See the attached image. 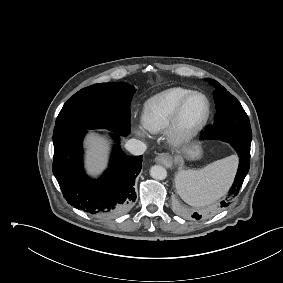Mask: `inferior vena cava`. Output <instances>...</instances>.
<instances>
[{
  "mask_svg": "<svg viewBox=\"0 0 283 283\" xmlns=\"http://www.w3.org/2000/svg\"><path fill=\"white\" fill-rule=\"evenodd\" d=\"M125 148L134 155H141L146 151V144L137 139H130L126 142Z\"/></svg>",
  "mask_w": 283,
  "mask_h": 283,
  "instance_id": "obj_1",
  "label": "inferior vena cava"
}]
</instances>
